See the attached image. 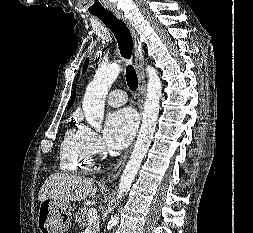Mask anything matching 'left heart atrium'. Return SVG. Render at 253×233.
Listing matches in <instances>:
<instances>
[{
  "label": "left heart atrium",
  "instance_id": "obj_1",
  "mask_svg": "<svg viewBox=\"0 0 253 233\" xmlns=\"http://www.w3.org/2000/svg\"><path fill=\"white\" fill-rule=\"evenodd\" d=\"M138 121L131 109H121L108 115L105 124V140L109 147L122 149L132 140Z\"/></svg>",
  "mask_w": 253,
  "mask_h": 233
}]
</instances>
